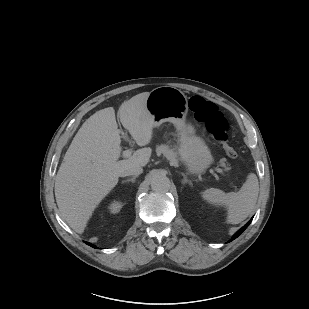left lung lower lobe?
<instances>
[{"label":"left lung lower lobe","mask_w":309,"mask_h":309,"mask_svg":"<svg viewBox=\"0 0 309 309\" xmlns=\"http://www.w3.org/2000/svg\"><path fill=\"white\" fill-rule=\"evenodd\" d=\"M251 221H252V219L244 227H242L239 231H237L230 241L237 238L248 227V225L251 223Z\"/></svg>","instance_id":"1"}]
</instances>
